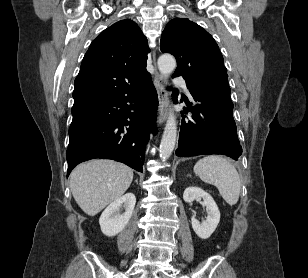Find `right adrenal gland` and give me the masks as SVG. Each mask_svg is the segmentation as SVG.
<instances>
[{"label":"right adrenal gland","mask_w":308,"mask_h":278,"mask_svg":"<svg viewBox=\"0 0 308 278\" xmlns=\"http://www.w3.org/2000/svg\"><path fill=\"white\" fill-rule=\"evenodd\" d=\"M136 184H138V179L135 180Z\"/></svg>","instance_id":"right-adrenal-gland-1"}]
</instances>
